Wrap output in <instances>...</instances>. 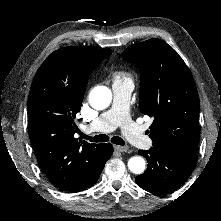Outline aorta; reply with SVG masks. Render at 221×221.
I'll list each match as a JSON object with an SVG mask.
<instances>
[{
    "instance_id": "obj_1",
    "label": "aorta",
    "mask_w": 221,
    "mask_h": 221,
    "mask_svg": "<svg viewBox=\"0 0 221 221\" xmlns=\"http://www.w3.org/2000/svg\"><path fill=\"white\" fill-rule=\"evenodd\" d=\"M112 93L105 86L95 87L89 95V103L96 110H103L110 105ZM146 162L140 156L131 157L128 161V169L134 174H142Z\"/></svg>"
}]
</instances>
